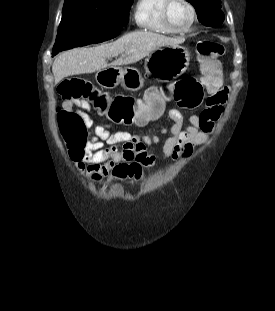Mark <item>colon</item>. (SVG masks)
<instances>
[{
  "label": "colon",
  "instance_id": "5ec220e1",
  "mask_svg": "<svg viewBox=\"0 0 275 311\" xmlns=\"http://www.w3.org/2000/svg\"><path fill=\"white\" fill-rule=\"evenodd\" d=\"M204 75L219 73V58L225 48L219 42L202 41L197 45ZM59 93L66 102L74 104L92 103L101 111V117L112 121L113 125H136L138 129H147L150 121H160L164 116L165 104L175 102L180 106L194 105L203 102V86L195 77H187L173 84L162 86L158 91L146 92L145 97H107L89 81L79 77H69L62 81ZM60 131L67 144L75 150V155L83 148L87 129L82 116L73 110H59L57 114ZM206 120V119H204ZM120 177L139 180L142 167L118 165L115 170Z\"/></svg>",
  "mask_w": 275,
  "mask_h": 311
}]
</instances>
